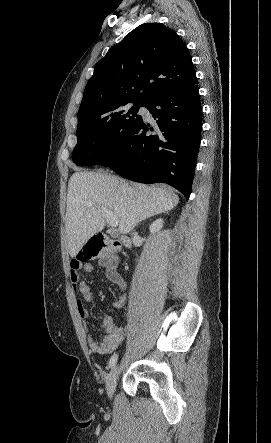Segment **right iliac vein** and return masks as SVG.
Wrapping results in <instances>:
<instances>
[{"label":"right iliac vein","mask_w":271,"mask_h":443,"mask_svg":"<svg viewBox=\"0 0 271 443\" xmlns=\"http://www.w3.org/2000/svg\"><path fill=\"white\" fill-rule=\"evenodd\" d=\"M118 375H119V368H118V366H115L111 370V372L107 378V381H106V390H107V394H108L109 398H112V396L115 392Z\"/></svg>","instance_id":"right-iliac-vein-1"}]
</instances>
